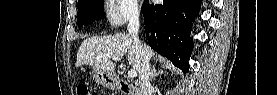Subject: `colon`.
Wrapping results in <instances>:
<instances>
[{"mask_svg":"<svg viewBox=\"0 0 277 95\" xmlns=\"http://www.w3.org/2000/svg\"><path fill=\"white\" fill-rule=\"evenodd\" d=\"M77 91L79 95H89L90 87L87 84H81L78 86Z\"/></svg>","mask_w":277,"mask_h":95,"instance_id":"obj_1","label":"colon"}]
</instances>
